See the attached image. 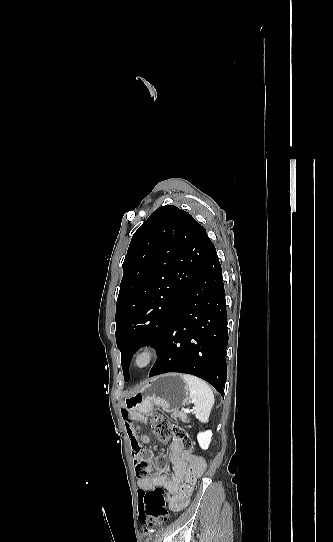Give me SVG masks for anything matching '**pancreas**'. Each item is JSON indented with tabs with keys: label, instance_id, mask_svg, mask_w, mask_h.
Instances as JSON below:
<instances>
[{
	"label": "pancreas",
	"instance_id": "obj_1",
	"mask_svg": "<svg viewBox=\"0 0 333 542\" xmlns=\"http://www.w3.org/2000/svg\"><path fill=\"white\" fill-rule=\"evenodd\" d=\"M170 418H174V420L178 418V420H182V422H186V424H189L190 422V418H188L186 412H175V410H173L170 414Z\"/></svg>",
	"mask_w": 333,
	"mask_h": 542
}]
</instances>
